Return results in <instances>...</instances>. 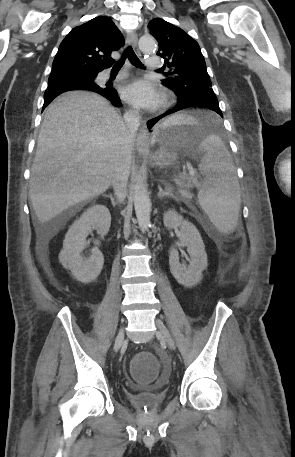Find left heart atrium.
Listing matches in <instances>:
<instances>
[{"instance_id":"left-heart-atrium-1","label":"left heart atrium","mask_w":295,"mask_h":457,"mask_svg":"<svg viewBox=\"0 0 295 457\" xmlns=\"http://www.w3.org/2000/svg\"><path fill=\"white\" fill-rule=\"evenodd\" d=\"M123 98L136 108L154 109L162 102L163 94L153 82L138 79L124 88Z\"/></svg>"}]
</instances>
